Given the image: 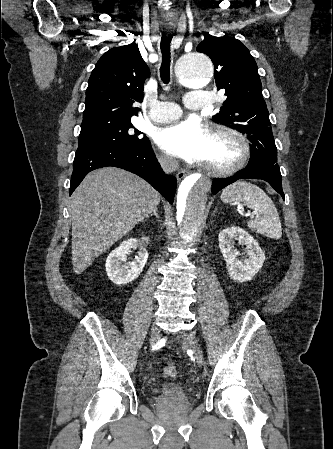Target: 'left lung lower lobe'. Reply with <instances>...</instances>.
I'll list each match as a JSON object with an SVG mask.
<instances>
[{"instance_id": "obj_1", "label": "left lung lower lobe", "mask_w": 333, "mask_h": 449, "mask_svg": "<svg viewBox=\"0 0 333 449\" xmlns=\"http://www.w3.org/2000/svg\"><path fill=\"white\" fill-rule=\"evenodd\" d=\"M239 179L265 180L282 196L283 199H285L282 190V177L279 167L246 166L245 169L241 170L240 172L236 173L231 177L214 179L212 183V193L213 194L218 193L221 189Z\"/></svg>"}]
</instances>
